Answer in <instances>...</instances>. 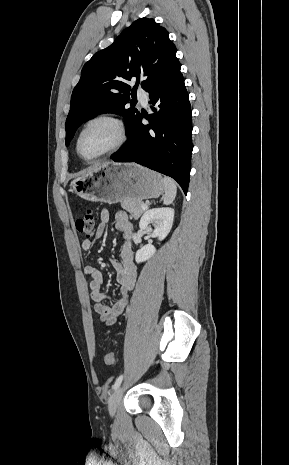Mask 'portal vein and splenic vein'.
Segmentation results:
<instances>
[{"label":"portal vein and splenic vein","mask_w":289,"mask_h":465,"mask_svg":"<svg viewBox=\"0 0 289 465\" xmlns=\"http://www.w3.org/2000/svg\"><path fill=\"white\" fill-rule=\"evenodd\" d=\"M142 208H143V209H146V208H147V205H146V204H143V205H142Z\"/></svg>","instance_id":"portal-vein-and-splenic-vein-1"}]
</instances>
